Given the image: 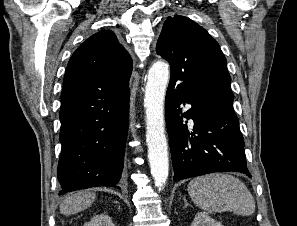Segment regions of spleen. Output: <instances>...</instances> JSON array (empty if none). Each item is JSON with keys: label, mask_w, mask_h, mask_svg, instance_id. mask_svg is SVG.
Instances as JSON below:
<instances>
[{"label": "spleen", "mask_w": 297, "mask_h": 226, "mask_svg": "<svg viewBox=\"0 0 297 226\" xmlns=\"http://www.w3.org/2000/svg\"><path fill=\"white\" fill-rule=\"evenodd\" d=\"M194 204L211 213L231 211L249 216L255 212V200L246 185L237 177L213 173L197 177L188 184Z\"/></svg>", "instance_id": "1"}]
</instances>
